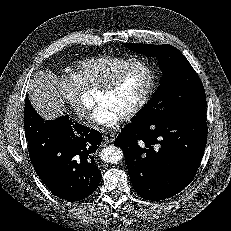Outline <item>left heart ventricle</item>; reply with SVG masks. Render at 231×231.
I'll use <instances>...</instances> for the list:
<instances>
[{
    "mask_svg": "<svg viewBox=\"0 0 231 231\" xmlns=\"http://www.w3.org/2000/svg\"><path fill=\"white\" fill-rule=\"evenodd\" d=\"M148 83L147 69L142 66L134 67L126 73L112 92H99L97 101L109 103L123 116L142 98Z\"/></svg>",
    "mask_w": 231,
    "mask_h": 231,
    "instance_id": "1",
    "label": "left heart ventricle"
}]
</instances>
